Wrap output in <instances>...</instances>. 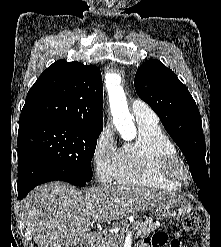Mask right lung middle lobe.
<instances>
[{"instance_id":"right-lung-middle-lobe-1","label":"right lung middle lobe","mask_w":221,"mask_h":247,"mask_svg":"<svg viewBox=\"0 0 221 247\" xmlns=\"http://www.w3.org/2000/svg\"><path fill=\"white\" fill-rule=\"evenodd\" d=\"M100 133L75 124L30 126L19 129L17 146L18 151L33 152L73 177L89 182Z\"/></svg>"}]
</instances>
